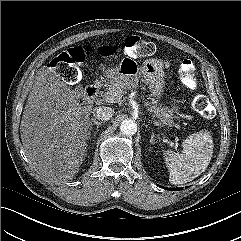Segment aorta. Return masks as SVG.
<instances>
[{"label": "aorta", "mask_w": 241, "mask_h": 241, "mask_svg": "<svg viewBox=\"0 0 241 241\" xmlns=\"http://www.w3.org/2000/svg\"><path fill=\"white\" fill-rule=\"evenodd\" d=\"M120 131L128 136H131L137 132V124L129 119V120H123L120 125Z\"/></svg>", "instance_id": "1"}]
</instances>
